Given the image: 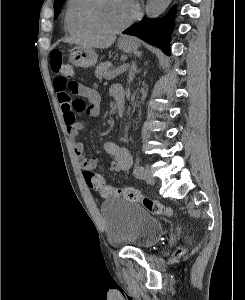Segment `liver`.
I'll return each instance as SVG.
<instances>
[{"label": "liver", "instance_id": "1", "mask_svg": "<svg viewBox=\"0 0 245 300\" xmlns=\"http://www.w3.org/2000/svg\"><path fill=\"white\" fill-rule=\"evenodd\" d=\"M116 40L114 36H88L81 39L69 38V43H77L83 48H109Z\"/></svg>", "mask_w": 245, "mask_h": 300}]
</instances>
